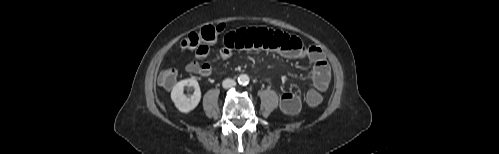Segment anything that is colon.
I'll return each instance as SVG.
<instances>
[{"instance_id": "5ec220e1", "label": "colon", "mask_w": 499, "mask_h": 154, "mask_svg": "<svg viewBox=\"0 0 499 154\" xmlns=\"http://www.w3.org/2000/svg\"><path fill=\"white\" fill-rule=\"evenodd\" d=\"M223 28L224 26L221 24L217 26H205L182 39L180 47L183 50H196L204 43L213 42ZM177 75V70L173 66H165L159 74L158 82L162 87L170 89L174 86ZM305 99L307 104L312 108L317 107L322 101L320 93L315 89L309 90Z\"/></svg>"}]
</instances>
